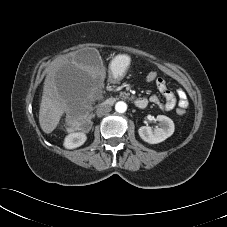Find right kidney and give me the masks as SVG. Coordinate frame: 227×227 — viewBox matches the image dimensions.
<instances>
[{
    "mask_svg": "<svg viewBox=\"0 0 227 227\" xmlns=\"http://www.w3.org/2000/svg\"><path fill=\"white\" fill-rule=\"evenodd\" d=\"M87 140V136L83 132L70 133L65 137L64 146L67 149L80 147Z\"/></svg>",
    "mask_w": 227,
    "mask_h": 227,
    "instance_id": "obj_1",
    "label": "right kidney"
}]
</instances>
